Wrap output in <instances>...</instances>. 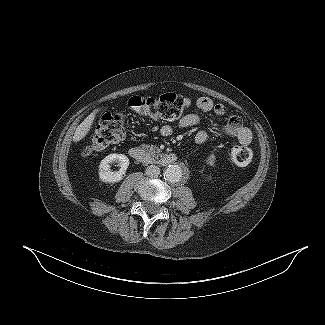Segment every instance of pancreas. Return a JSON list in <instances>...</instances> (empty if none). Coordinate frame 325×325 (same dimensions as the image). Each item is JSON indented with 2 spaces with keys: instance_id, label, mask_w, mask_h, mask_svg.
<instances>
[{
  "instance_id": "1",
  "label": "pancreas",
  "mask_w": 325,
  "mask_h": 325,
  "mask_svg": "<svg viewBox=\"0 0 325 325\" xmlns=\"http://www.w3.org/2000/svg\"><path fill=\"white\" fill-rule=\"evenodd\" d=\"M143 147L145 149L148 150V152L152 155V156H160L161 155V150L159 147H157L156 145H143Z\"/></svg>"
}]
</instances>
